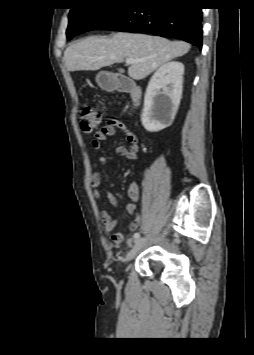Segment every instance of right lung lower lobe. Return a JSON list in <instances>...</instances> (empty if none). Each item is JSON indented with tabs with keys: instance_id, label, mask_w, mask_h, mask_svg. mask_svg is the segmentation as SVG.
I'll use <instances>...</instances> for the list:
<instances>
[{
	"instance_id": "right-lung-lower-lobe-1",
	"label": "right lung lower lobe",
	"mask_w": 254,
	"mask_h": 355,
	"mask_svg": "<svg viewBox=\"0 0 254 355\" xmlns=\"http://www.w3.org/2000/svg\"><path fill=\"white\" fill-rule=\"evenodd\" d=\"M201 22L197 0H133L100 29L179 38L202 48Z\"/></svg>"
}]
</instances>
